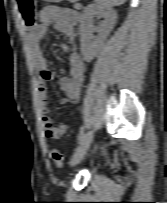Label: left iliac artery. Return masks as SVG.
I'll return each mask as SVG.
<instances>
[{"instance_id": "left-iliac-artery-1", "label": "left iliac artery", "mask_w": 167, "mask_h": 203, "mask_svg": "<svg viewBox=\"0 0 167 203\" xmlns=\"http://www.w3.org/2000/svg\"><path fill=\"white\" fill-rule=\"evenodd\" d=\"M84 136V127H81L79 134H78V142H80L82 140Z\"/></svg>"}]
</instances>
